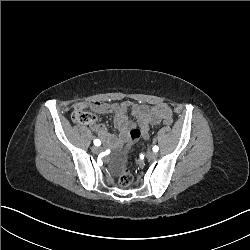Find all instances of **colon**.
Returning <instances> with one entry per match:
<instances>
[{"instance_id":"colon-1","label":"colon","mask_w":250,"mask_h":250,"mask_svg":"<svg viewBox=\"0 0 250 250\" xmlns=\"http://www.w3.org/2000/svg\"><path fill=\"white\" fill-rule=\"evenodd\" d=\"M158 112L163 118V123L165 126H172L173 125V120L171 119L170 116H168V111L165 109L164 106H159L158 107ZM72 120L80 125H90L94 122V116L85 111V110H75L72 113ZM130 133V139L127 140L126 143L123 144V149L124 150H129L131 146L134 145L135 142L139 141L142 130L139 127H132L129 130ZM134 180V175L131 173L129 170H124L120 177L117 180V185L120 188H125L129 186Z\"/></svg>"}]
</instances>
